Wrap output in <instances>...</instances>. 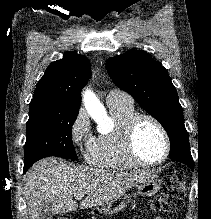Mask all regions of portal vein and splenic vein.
Listing matches in <instances>:
<instances>
[{
	"instance_id": "obj_1",
	"label": "portal vein and splenic vein",
	"mask_w": 211,
	"mask_h": 219,
	"mask_svg": "<svg viewBox=\"0 0 211 219\" xmlns=\"http://www.w3.org/2000/svg\"><path fill=\"white\" fill-rule=\"evenodd\" d=\"M83 197H84V194H81V193L75 195L76 199H81Z\"/></svg>"
}]
</instances>
